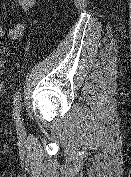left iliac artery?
<instances>
[{
	"instance_id": "44dca946",
	"label": "left iliac artery",
	"mask_w": 131,
	"mask_h": 177,
	"mask_svg": "<svg viewBox=\"0 0 131 177\" xmlns=\"http://www.w3.org/2000/svg\"><path fill=\"white\" fill-rule=\"evenodd\" d=\"M21 92L20 90L16 91L13 101V113L19 119L21 111Z\"/></svg>"
}]
</instances>
